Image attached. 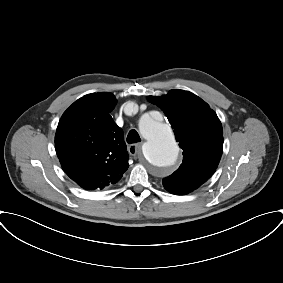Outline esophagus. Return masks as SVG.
Returning a JSON list of instances; mask_svg holds the SVG:
<instances>
[{
    "label": "esophagus",
    "mask_w": 283,
    "mask_h": 283,
    "mask_svg": "<svg viewBox=\"0 0 283 283\" xmlns=\"http://www.w3.org/2000/svg\"><path fill=\"white\" fill-rule=\"evenodd\" d=\"M141 146H142V143L130 144L128 146L129 154L132 156H139L141 154Z\"/></svg>",
    "instance_id": "esophagus-1"
}]
</instances>
